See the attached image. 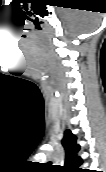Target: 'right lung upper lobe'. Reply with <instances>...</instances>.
Returning <instances> with one entry per match:
<instances>
[{
  "label": "right lung upper lobe",
  "instance_id": "1",
  "mask_svg": "<svg viewBox=\"0 0 106 172\" xmlns=\"http://www.w3.org/2000/svg\"><path fill=\"white\" fill-rule=\"evenodd\" d=\"M76 136L71 133L70 130L64 132V138L62 139V145L65 149V172H81L78 168L83 160L77 156L80 150V146L76 143Z\"/></svg>",
  "mask_w": 106,
  "mask_h": 172
}]
</instances>
